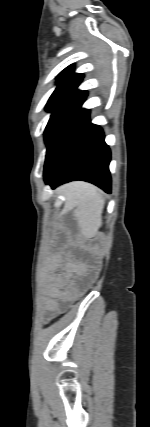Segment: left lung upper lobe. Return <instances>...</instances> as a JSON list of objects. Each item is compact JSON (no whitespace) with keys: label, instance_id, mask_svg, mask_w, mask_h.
Wrapping results in <instances>:
<instances>
[{"label":"left lung upper lobe","instance_id":"1","mask_svg":"<svg viewBox=\"0 0 150 427\" xmlns=\"http://www.w3.org/2000/svg\"><path fill=\"white\" fill-rule=\"evenodd\" d=\"M83 74H76L72 71V65L64 69L58 76V86L46 104V110L52 112V116L62 111L85 91L76 88L82 81Z\"/></svg>","mask_w":150,"mask_h":427}]
</instances>
